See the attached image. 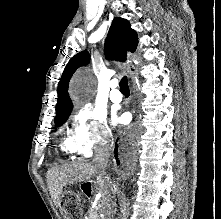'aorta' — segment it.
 <instances>
[{
	"label": "aorta",
	"instance_id": "obj_1",
	"mask_svg": "<svg viewBox=\"0 0 221 219\" xmlns=\"http://www.w3.org/2000/svg\"><path fill=\"white\" fill-rule=\"evenodd\" d=\"M73 95L77 99H87L94 92V79L89 74H80L75 78L72 87Z\"/></svg>",
	"mask_w": 221,
	"mask_h": 219
}]
</instances>
